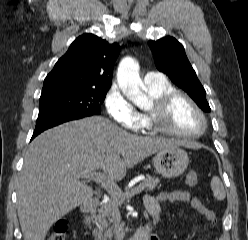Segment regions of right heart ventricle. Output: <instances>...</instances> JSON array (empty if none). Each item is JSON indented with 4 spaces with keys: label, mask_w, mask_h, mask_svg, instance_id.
Segmentation results:
<instances>
[{
    "label": "right heart ventricle",
    "mask_w": 248,
    "mask_h": 240,
    "mask_svg": "<svg viewBox=\"0 0 248 240\" xmlns=\"http://www.w3.org/2000/svg\"><path fill=\"white\" fill-rule=\"evenodd\" d=\"M144 89L152 99H157L162 94L174 90L173 85L166 79L161 82L144 83ZM141 115L142 127H148L146 115Z\"/></svg>",
    "instance_id": "1"
}]
</instances>
